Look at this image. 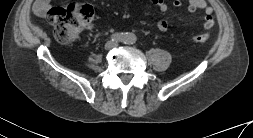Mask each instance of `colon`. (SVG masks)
I'll use <instances>...</instances> for the list:
<instances>
[{
	"mask_svg": "<svg viewBox=\"0 0 253 138\" xmlns=\"http://www.w3.org/2000/svg\"><path fill=\"white\" fill-rule=\"evenodd\" d=\"M93 8L86 3L74 2L66 7H53L47 18L54 25V34L63 43L74 42L93 17ZM209 33L194 35L191 41L196 45L208 42Z\"/></svg>",
	"mask_w": 253,
	"mask_h": 138,
	"instance_id": "1",
	"label": "colon"
}]
</instances>
